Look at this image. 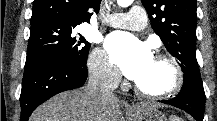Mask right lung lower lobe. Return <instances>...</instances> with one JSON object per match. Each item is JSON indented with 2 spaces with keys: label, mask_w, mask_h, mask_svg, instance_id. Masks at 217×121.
Here are the masks:
<instances>
[{
  "label": "right lung lower lobe",
  "mask_w": 217,
  "mask_h": 121,
  "mask_svg": "<svg viewBox=\"0 0 217 121\" xmlns=\"http://www.w3.org/2000/svg\"><path fill=\"white\" fill-rule=\"evenodd\" d=\"M87 68L67 61H40L25 65L20 95L21 121L50 97L81 87Z\"/></svg>",
  "instance_id": "right-lung-lower-lobe-1"
}]
</instances>
